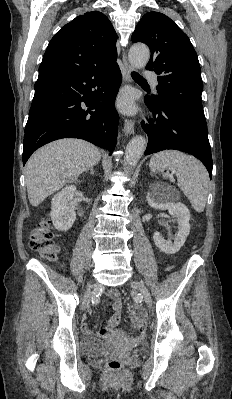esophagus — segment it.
I'll return each instance as SVG.
<instances>
[{
    "mask_svg": "<svg viewBox=\"0 0 232 399\" xmlns=\"http://www.w3.org/2000/svg\"><path fill=\"white\" fill-rule=\"evenodd\" d=\"M122 60H123V65H124L125 72H126L125 80H126V82H131V80H132L131 73L133 71V67H131V65L128 63L125 51L123 52ZM134 126H135V122L133 120L128 119V118L125 119L124 131L126 134H129V135L134 134Z\"/></svg>",
    "mask_w": 232,
    "mask_h": 399,
    "instance_id": "esophagus-1",
    "label": "esophagus"
}]
</instances>
